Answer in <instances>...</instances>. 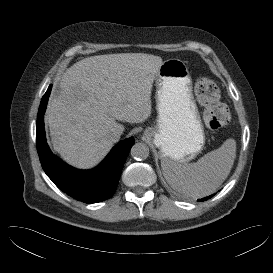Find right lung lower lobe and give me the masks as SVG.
<instances>
[{
	"instance_id": "1",
	"label": "right lung lower lobe",
	"mask_w": 273,
	"mask_h": 273,
	"mask_svg": "<svg viewBox=\"0 0 273 273\" xmlns=\"http://www.w3.org/2000/svg\"><path fill=\"white\" fill-rule=\"evenodd\" d=\"M51 89L52 85L41 100L36 123L37 151L42 168L61 191L78 201L97 203L110 198L116 190L134 138L118 143L103 162L92 170H78L69 166L50 151L46 142L44 113Z\"/></svg>"
}]
</instances>
